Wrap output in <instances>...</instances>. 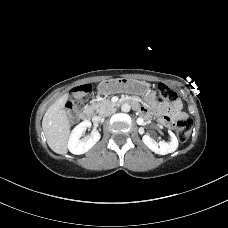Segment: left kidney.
I'll list each match as a JSON object with an SVG mask.
<instances>
[{"label":"left kidney","instance_id":"obj_1","mask_svg":"<svg viewBox=\"0 0 228 228\" xmlns=\"http://www.w3.org/2000/svg\"><path fill=\"white\" fill-rule=\"evenodd\" d=\"M168 133L171 137V141L166 143L164 141L157 142L152 139L148 134L142 137L143 143L153 152L160 155H166L174 152L178 148V139L175 134L168 130Z\"/></svg>","mask_w":228,"mask_h":228}]
</instances>
